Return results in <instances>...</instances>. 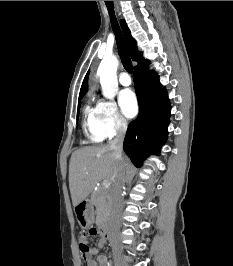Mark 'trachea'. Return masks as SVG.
<instances>
[{
	"mask_svg": "<svg viewBox=\"0 0 233 266\" xmlns=\"http://www.w3.org/2000/svg\"><path fill=\"white\" fill-rule=\"evenodd\" d=\"M105 3L107 6V9L109 11L111 25H112L113 32L115 34V39H116V43H117L121 62L123 64L125 70L129 73H132L133 72L132 62H131L128 50L126 48L120 27L118 25V22L116 20L115 14H114L113 2L112 1H105Z\"/></svg>",
	"mask_w": 233,
	"mask_h": 266,
	"instance_id": "trachea-1",
	"label": "trachea"
}]
</instances>
